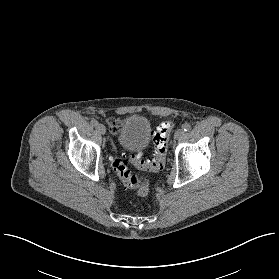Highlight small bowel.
I'll return each instance as SVG.
<instances>
[{
  "mask_svg": "<svg viewBox=\"0 0 279 279\" xmlns=\"http://www.w3.org/2000/svg\"><path fill=\"white\" fill-rule=\"evenodd\" d=\"M107 123L109 125V127L114 131L116 132L117 129L119 128V125H120V121L118 119H113V118H109L107 120Z\"/></svg>",
  "mask_w": 279,
  "mask_h": 279,
  "instance_id": "1",
  "label": "small bowel"
}]
</instances>
